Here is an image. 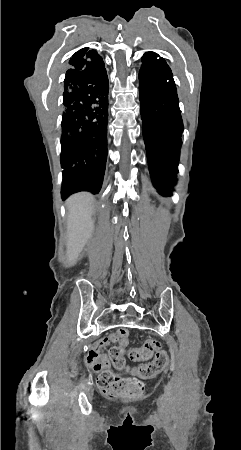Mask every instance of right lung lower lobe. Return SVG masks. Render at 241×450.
<instances>
[{
	"mask_svg": "<svg viewBox=\"0 0 241 450\" xmlns=\"http://www.w3.org/2000/svg\"><path fill=\"white\" fill-rule=\"evenodd\" d=\"M104 62L70 68L64 79L61 137L62 198L99 193L107 160L109 83Z\"/></svg>",
	"mask_w": 241,
	"mask_h": 450,
	"instance_id": "1",
	"label": "right lung lower lobe"
}]
</instances>
